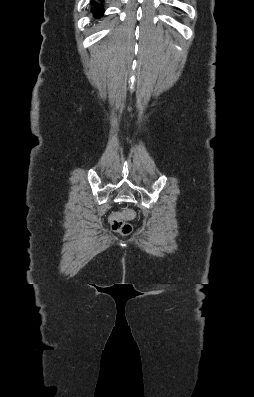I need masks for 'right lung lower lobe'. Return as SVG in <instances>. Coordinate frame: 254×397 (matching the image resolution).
I'll list each match as a JSON object with an SVG mask.
<instances>
[{
	"mask_svg": "<svg viewBox=\"0 0 254 397\" xmlns=\"http://www.w3.org/2000/svg\"><path fill=\"white\" fill-rule=\"evenodd\" d=\"M101 3L103 2V0H99ZM95 7H97L94 11H93V13H94V16L95 17H97V18H99L100 16H102V14H103V8H101V6L98 4V3H96V2H94V1H92L91 2Z\"/></svg>",
	"mask_w": 254,
	"mask_h": 397,
	"instance_id": "right-lung-lower-lobe-1",
	"label": "right lung lower lobe"
}]
</instances>
